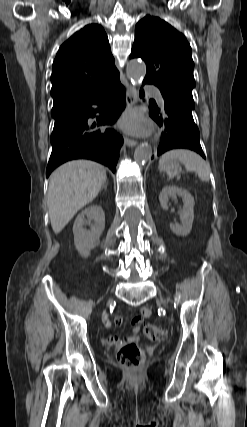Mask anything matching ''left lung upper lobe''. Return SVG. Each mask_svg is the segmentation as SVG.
Instances as JSON below:
<instances>
[{
  "instance_id": "left-lung-upper-lobe-1",
  "label": "left lung upper lobe",
  "mask_w": 247,
  "mask_h": 427,
  "mask_svg": "<svg viewBox=\"0 0 247 427\" xmlns=\"http://www.w3.org/2000/svg\"><path fill=\"white\" fill-rule=\"evenodd\" d=\"M130 58H141L147 65L143 83L154 84L169 101L192 111L194 62L185 36L158 17L147 15L135 27Z\"/></svg>"
}]
</instances>
